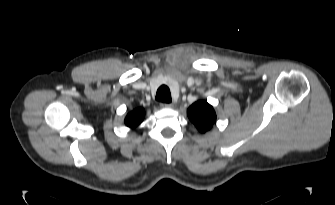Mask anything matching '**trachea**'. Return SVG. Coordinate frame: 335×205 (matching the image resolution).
Segmentation results:
<instances>
[{"label":"trachea","mask_w":335,"mask_h":205,"mask_svg":"<svg viewBox=\"0 0 335 205\" xmlns=\"http://www.w3.org/2000/svg\"><path fill=\"white\" fill-rule=\"evenodd\" d=\"M156 100L163 102V103H170L171 102V93L170 89L166 85H162L158 88L156 93Z\"/></svg>","instance_id":"3493384b"}]
</instances>
